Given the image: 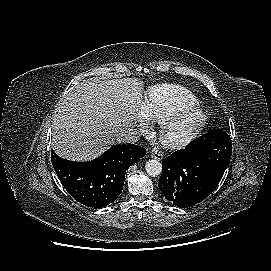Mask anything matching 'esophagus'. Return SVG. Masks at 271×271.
I'll return each mask as SVG.
<instances>
[{
	"instance_id": "34e87169",
	"label": "esophagus",
	"mask_w": 271,
	"mask_h": 271,
	"mask_svg": "<svg viewBox=\"0 0 271 271\" xmlns=\"http://www.w3.org/2000/svg\"><path fill=\"white\" fill-rule=\"evenodd\" d=\"M150 155L152 158L158 161H161L163 159V154L155 148L151 150Z\"/></svg>"
}]
</instances>
